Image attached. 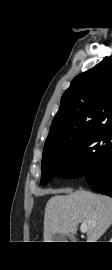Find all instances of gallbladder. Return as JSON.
<instances>
[{"label": "gallbladder", "mask_w": 112, "mask_h": 270, "mask_svg": "<svg viewBox=\"0 0 112 270\" xmlns=\"http://www.w3.org/2000/svg\"><path fill=\"white\" fill-rule=\"evenodd\" d=\"M70 238H73V236L70 235ZM65 240H66L65 235L60 234V233H56L52 237L53 242H65Z\"/></svg>", "instance_id": "1"}]
</instances>
